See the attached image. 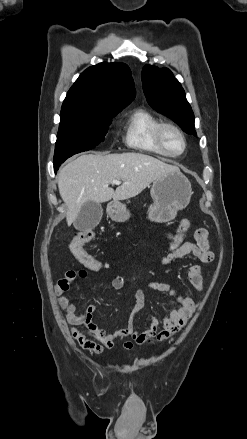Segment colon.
<instances>
[{
  "label": "colon",
  "mask_w": 247,
  "mask_h": 439,
  "mask_svg": "<svg viewBox=\"0 0 247 439\" xmlns=\"http://www.w3.org/2000/svg\"><path fill=\"white\" fill-rule=\"evenodd\" d=\"M190 225V221L187 219L180 221L176 232V238L171 241L170 244L171 251L176 250L180 246L184 234L188 231ZM93 236L94 234L91 230H79L75 232L70 243V250L85 268L92 271H98L103 268L102 262L84 249V246L92 240ZM84 274V271L79 272L80 276H84Z\"/></svg>",
  "instance_id": "5ec220e1"
}]
</instances>
